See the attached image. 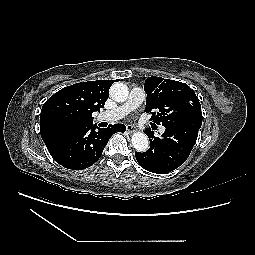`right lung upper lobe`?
Segmentation results:
<instances>
[{"mask_svg": "<svg viewBox=\"0 0 255 255\" xmlns=\"http://www.w3.org/2000/svg\"><path fill=\"white\" fill-rule=\"evenodd\" d=\"M115 81L80 82L51 96L44 103L40 115L43 141L48 142L58 132L93 124L92 113L104 107Z\"/></svg>", "mask_w": 255, "mask_h": 255, "instance_id": "obj_1", "label": "right lung upper lobe"}]
</instances>
